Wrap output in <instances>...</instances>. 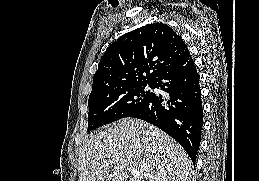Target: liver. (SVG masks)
Instances as JSON below:
<instances>
[{"instance_id":"liver-1","label":"liver","mask_w":259,"mask_h":181,"mask_svg":"<svg viewBox=\"0 0 259 181\" xmlns=\"http://www.w3.org/2000/svg\"><path fill=\"white\" fill-rule=\"evenodd\" d=\"M190 181L192 161L173 138L139 119L124 118L90 138L79 149V181Z\"/></svg>"}]
</instances>
